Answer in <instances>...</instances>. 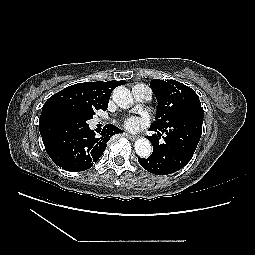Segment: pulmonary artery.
<instances>
[{"label":"pulmonary artery","instance_id":"e3ab8cb5","mask_svg":"<svg viewBox=\"0 0 255 255\" xmlns=\"http://www.w3.org/2000/svg\"><path fill=\"white\" fill-rule=\"evenodd\" d=\"M132 95L136 102H145L151 100L152 91L147 85L136 84L132 88Z\"/></svg>","mask_w":255,"mask_h":255}]
</instances>
